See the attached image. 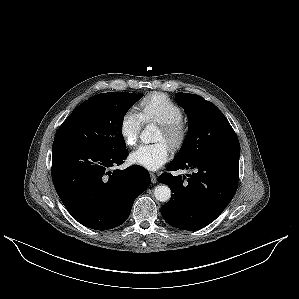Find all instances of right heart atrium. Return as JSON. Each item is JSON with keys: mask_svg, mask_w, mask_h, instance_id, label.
<instances>
[{"mask_svg": "<svg viewBox=\"0 0 299 299\" xmlns=\"http://www.w3.org/2000/svg\"><path fill=\"white\" fill-rule=\"evenodd\" d=\"M143 119L135 109L127 110L120 121V134L127 146H134L139 138Z\"/></svg>", "mask_w": 299, "mask_h": 299, "instance_id": "1", "label": "right heart atrium"}]
</instances>
